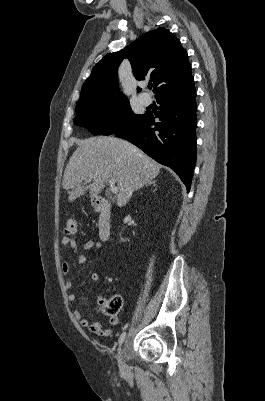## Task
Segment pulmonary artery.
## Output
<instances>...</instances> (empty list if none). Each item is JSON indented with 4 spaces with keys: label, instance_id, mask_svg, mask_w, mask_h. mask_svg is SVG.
Masks as SVG:
<instances>
[{
    "label": "pulmonary artery",
    "instance_id": "obj_1",
    "mask_svg": "<svg viewBox=\"0 0 265 401\" xmlns=\"http://www.w3.org/2000/svg\"><path fill=\"white\" fill-rule=\"evenodd\" d=\"M139 101L143 104H149L151 102V97L150 96H140Z\"/></svg>",
    "mask_w": 265,
    "mask_h": 401
}]
</instances>
